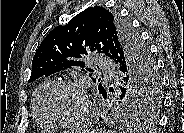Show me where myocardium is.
Wrapping results in <instances>:
<instances>
[{"label":"myocardium","instance_id":"f54148a6","mask_svg":"<svg viewBox=\"0 0 184 133\" xmlns=\"http://www.w3.org/2000/svg\"><path fill=\"white\" fill-rule=\"evenodd\" d=\"M61 87L76 88L82 93V95L84 97L85 108H84L83 112L75 118H72V119L58 118L52 113V111L50 109V106H49L50 97L54 93V91H56L57 89H59ZM42 109H43L45 116L49 119V121L52 124L61 125V126L81 125L84 122H86L92 114V104H91V99H90V92L87 89L85 84H83L77 80L55 81V82H53L52 85H50V87L45 91V93L43 95Z\"/></svg>","mask_w":184,"mask_h":133}]
</instances>
